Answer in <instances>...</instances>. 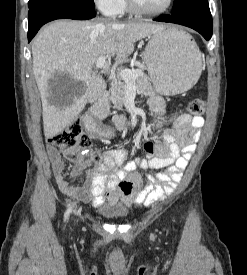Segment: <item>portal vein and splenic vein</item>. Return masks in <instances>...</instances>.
Listing matches in <instances>:
<instances>
[{
    "instance_id": "portal-vein-and-splenic-vein-1",
    "label": "portal vein and splenic vein",
    "mask_w": 247,
    "mask_h": 275,
    "mask_svg": "<svg viewBox=\"0 0 247 275\" xmlns=\"http://www.w3.org/2000/svg\"><path fill=\"white\" fill-rule=\"evenodd\" d=\"M106 66V57H100L96 61V67L99 69H104ZM144 72L141 69L130 70L123 69L120 71V76L123 80L127 81L129 85L133 84V81L136 77L143 75Z\"/></svg>"
}]
</instances>
